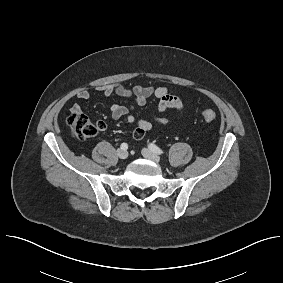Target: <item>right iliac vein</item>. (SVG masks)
Listing matches in <instances>:
<instances>
[{
  "label": "right iliac vein",
  "mask_w": 283,
  "mask_h": 283,
  "mask_svg": "<svg viewBox=\"0 0 283 283\" xmlns=\"http://www.w3.org/2000/svg\"><path fill=\"white\" fill-rule=\"evenodd\" d=\"M117 155L121 159H126L128 157V152L126 150H123V149H118Z\"/></svg>",
  "instance_id": "obj_1"
}]
</instances>
